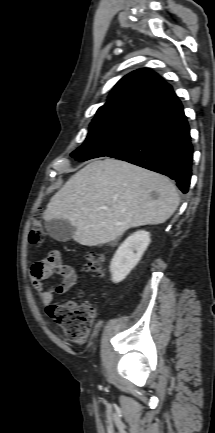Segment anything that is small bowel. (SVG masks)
Wrapping results in <instances>:
<instances>
[{"instance_id": "1", "label": "small bowel", "mask_w": 215, "mask_h": 433, "mask_svg": "<svg viewBox=\"0 0 215 433\" xmlns=\"http://www.w3.org/2000/svg\"><path fill=\"white\" fill-rule=\"evenodd\" d=\"M54 274L60 277V282L54 287H46V279ZM29 277L44 305L52 302L54 293L66 294L78 281L74 268L63 262L61 253L57 250H51L45 258L33 262L29 268Z\"/></svg>"}]
</instances>
